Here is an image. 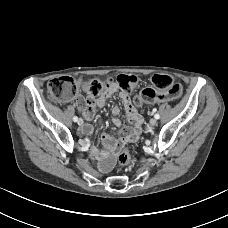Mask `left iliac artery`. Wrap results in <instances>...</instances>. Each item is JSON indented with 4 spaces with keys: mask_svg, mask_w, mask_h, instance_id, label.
Returning a JSON list of instances; mask_svg holds the SVG:
<instances>
[{
    "mask_svg": "<svg viewBox=\"0 0 228 228\" xmlns=\"http://www.w3.org/2000/svg\"><path fill=\"white\" fill-rule=\"evenodd\" d=\"M155 119H159L160 118V115L159 114H155Z\"/></svg>",
    "mask_w": 228,
    "mask_h": 228,
    "instance_id": "44dca946",
    "label": "left iliac artery"
}]
</instances>
